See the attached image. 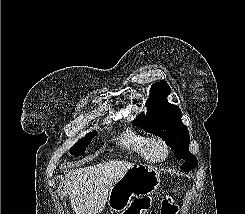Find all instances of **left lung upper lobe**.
Instances as JSON below:
<instances>
[{"label":"left lung upper lobe","mask_w":245,"mask_h":214,"mask_svg":"<svg viewBox=\"0 0 245 214\" xmlns=\"http://www.w3.org/2000/svg\"><path fill=\"white\" fill-rule=\"evenodd\" d=\"M171 89L166 81H160L150 90L146 102L147 113L142 112L132 121L136 126L160 138L171 147L174 154L185 162L182 170L189 172L198 165L197 158L189 151V131L182 121V112L177 105L168 103Z\"/></svg>","instance_id":"1"}]
</instances>
